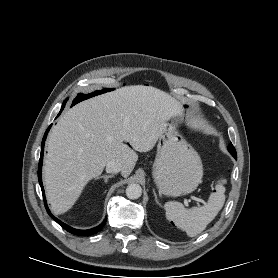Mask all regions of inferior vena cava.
Instances as JSON below:
<instances>
[{
	"label": "inferior vena cava",
	"instance_id": "inferior-vena-cava-1",
	"mask_svg": "<svg viewBox=\"0 0 278 278\" xmlns=\"http://www.w3.org/2000/svg\"><path fill=\"white\" fill-rule=\"evenodd\" d=\"M122 170V165L121 163L117 162V161H109L106 164V172L107 173H118Z\"/></svg>",
	"mask_w": 278,
	"mask_h": 278
}]
</instances>
